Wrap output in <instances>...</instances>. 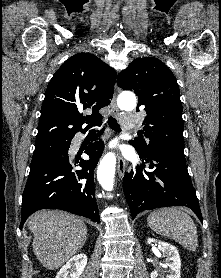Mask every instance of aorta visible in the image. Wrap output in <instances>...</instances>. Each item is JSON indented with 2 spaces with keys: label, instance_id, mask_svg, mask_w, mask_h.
<instances>
[{
  "label": "aorta",
  "instance_id": "obj_1",
  "mask_svg": "<svg viewBox=\"0 0 221 278\" xmlns=\"http://www.w3.org/2000/svg\"><path fill=\"white\" fill-rule=\"evenodd\" d=\"M136 105V98L132 95L129 98H121L119 106L122 109H132ZM116 157L114 153L106 154L99 164L97 170V179L102 188L106 191H112L114 187Z\"/></svg>",
  "mask_w": 221,
  "mask_h": 278
}]
</instances>
